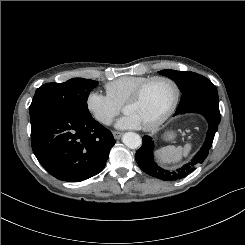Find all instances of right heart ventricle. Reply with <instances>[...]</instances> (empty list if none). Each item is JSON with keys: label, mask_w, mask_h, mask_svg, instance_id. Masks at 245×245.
Returning a JSON list of instances; mask_svg holds the SVG:
<instances>
[{"label": "right heart ventricle", "mask_w": 245, "mask_h": 245, "mask_svg": "<svg viewBox=\"0 0 245 245\" xmlns=\"http://www.w3.org/2000/svg\"><path fill=\"white\" fill-rule=\"evenodd\" d=\"M149 76H121L105 85L107 95L117 105L122 106L132 92Z\"/></svg>", "instance_id": "obj_1"}]
</instances>
